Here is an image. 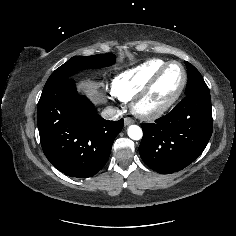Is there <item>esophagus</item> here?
<instances>
[{
    "label": "esophagus",
    "instance_id": "obj_1",
    "mask_svg": "<svg viewBox=\"0 0 236 236\" xmlns=\"http://www.w3.org/2000/svg\"><path fill=\"white\" fill-rule=\"evenodd\" d=\"M134 121L131 119V118H129V117H126L125 119H124V124L127 126V125H130V124H132Z\"/></svg>",
    "mask_w": 236,
    "mask_h": 236
}]
</instances>
